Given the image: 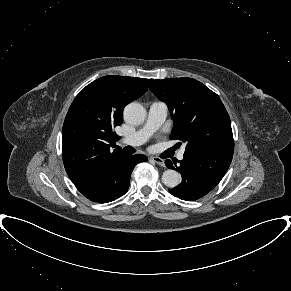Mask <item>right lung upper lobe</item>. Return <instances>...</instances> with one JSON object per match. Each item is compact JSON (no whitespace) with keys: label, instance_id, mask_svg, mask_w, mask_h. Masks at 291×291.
<instances>
[{"label":"right lung upper lobe","instance_id":"right-lung-upper-lobe-1","mask_svg":"<svg viewBox=\"0 0 291 291\" xmlns=\"http://www.w3.org/2000/svg\"><path fill=\"white\" fill-rule=\"evenodd\" d=\"M153 79L109 75L83 88L72 102L62 129V158L76 188L83 190L111 158L123 154L113 129L123 109L142 96Z\"/></svg>","mask_w":291,"mask_h":291}]
</instances>
